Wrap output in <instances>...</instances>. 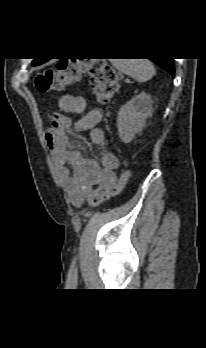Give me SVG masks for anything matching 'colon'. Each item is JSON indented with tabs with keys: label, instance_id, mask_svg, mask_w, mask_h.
I'll use <instances>...</instances> for the list:
<instances>
[{
	"label": "colon",
	"instance_id": "colon-1",
	"mask_svg": "<svg viewBox=\"0 0 206 348\" xmlns=\"http://www.w3.org/2000/svg\"><path fill=\"white\" fill-rule=\"evenodd\" d=\"M83 74L89 76L90 87L100 103H107L117 92L118 75L116 70L104 60L92 57L58 60L54 67L37 74L35 87L40 93L56 91L77 81ZM128 177V171L123 170L115 184L97 187L89 197V205L98 206L118 195L124 188Z\"/></svg>",
	"mask_w": 206,
	"mask_h": 348
}]
</instances>
